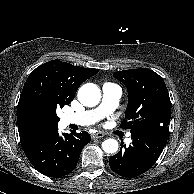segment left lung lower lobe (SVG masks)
Masks as SVG:
<instances>
[{
	"instance_id": "obj_1",
	"label": "left lung lower lobe",
	"mask_w": 194,
	"mask_h": 194,
	"mask_svg": "<svg viewBox=\"0 0 194 194\" xmlns=\"http://www.w3.org/2000/svg\"><path fill=\"white\" fill-rule=\"evenodd\" d=\"M168 133L166 130L147 128L131 131L132 144L129 147L121 145L120 152L109 159L112 171L125 178L145 173L159 158Z\"/></svg>"
}]
</instances>
